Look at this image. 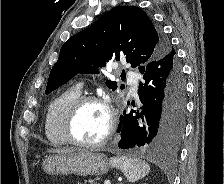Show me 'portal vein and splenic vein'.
Segmentation results:
<instances>
[{
  "instance_id": "18ae733b",
  "label": "portal vein and splenic vein",
  "mask_w": 224,
  "mask_h": 184,
  "mask_svg": "<svg viewBox=\"0 0 224 184\" xmlns=\"http://www.w3.org/2000/svg\"><path fill=\"white\" fill-rule=\"evenodd\" d=\"M104 184H111L110 180H105Z\"/></svg>"
}]
</instances>
